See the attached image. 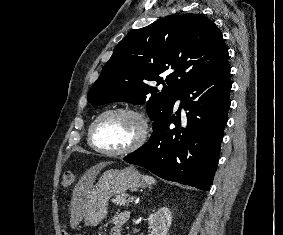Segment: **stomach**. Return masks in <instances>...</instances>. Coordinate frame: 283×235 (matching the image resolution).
<instances>
[{
	"label": "stomach",
	"instance_id": "stomach-1",
	"mask_svg": "<svg viewBox=\"0 0 283 235\" xmlns=\"http://www.w3.org/2000/svg\"><path fill=\"white\" fill-rule=\"evenodd\" d=\"M147 184L140 172L132 166L105 171L83 197L82 212L85 223L97 226L106 217L108 202L112 196L122 195L127 190L136 191Z\"/></svg>",
	"mask_w": 283,
	"mask_h": 235
}]
</instances>
